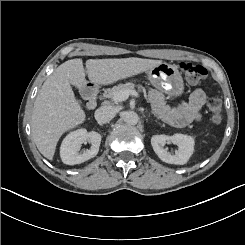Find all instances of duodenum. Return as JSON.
<instances>
[{
    "label": "duodenum",
    "instance_id": "1",
    "mask_svg": "<svg viewBox=\"0 0 245 245\" xmlns=\"http://www.w3.org/2000/svg\"><path fill=\"white\" fill-rule=\"evenodd\" d=\"M84 94L87 98V109L92 110L96 107L97 105V93L95 88L93 87H86L84 89Z\"/></svg>",
    "mask_w": 245,
    "mask_h": 245
}]
</instances>
